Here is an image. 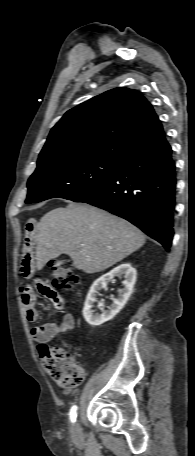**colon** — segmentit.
I'll return each mask as SVG.
<instances>
[{"label": "colon", "instance_id": "1", "mask_svg": "<svg viewBox=\"0 0 195 456\" xmlns=\"http://www.w3.org/2000/svg\"><path fill=\"white\" fill-rule=\"evenodd\" d=\"M52 271V283L55 288L71 290L80 283L72 261L66 258L54 259L49 262ZM39 354L44 369L61 387L73 388L81 384L84 371L70 356L66 344L48 346L41 344Z\"/></svg>", "mask_w": 195, "mask_h": 456}]
</instances>
